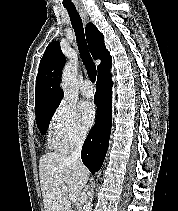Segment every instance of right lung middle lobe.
<instances>
[{
    "instance_id": "dd1d6c3e",
    "label": "right lung middle lobe",
    "mask_w": 178,
    "mask_h": 211,
    "mask_svg": "<svg viewBox=\"0 0 178 211\" xmlns=\"http://www.w3.org/2000/svg\"><path fill=\"white\" fill-rule=\"evenodd\" d=\"M57 107L58 105H53L48 108H45L44 110L36 114V123L42 134H46V129L49 126V122L51 120L53 112Z\"/></svg>"
}]
</instances>
